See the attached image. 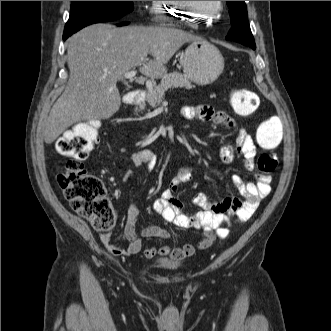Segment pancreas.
<instances>
[{
    "mask_svg": "<svg viewBox=\"0 0 331 331\" xmlns=\"http://www.w3.org/2000/svg\"><path fill=\"white\" fill-rule=\"evenodd\" d=\"M186 88L191 89L193 86L188 78L178 72H173L163 76L160 84L154 86V88L149 89L147 92L146 100L148 104L155 108L163 99L165 92L170 88ZM145 109V105L139 106L135 111H142Z\"/></svg>",
    "mask_w": 331,
    "mask_h": 331,
    "instance_id": "obj_1",
    "label": "pancreas"
}]
</instances>
